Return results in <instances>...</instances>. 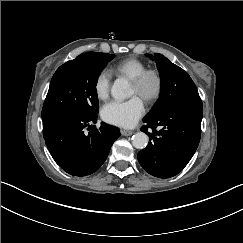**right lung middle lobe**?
I'll use <instances>...</instances> for the list:
<instances>
[{
    "label": "right lung middle lobe",
    "mask_w": 243,
    "mask_h": 243,
    "mask_svg": "<svg viewBox=\"0 0 243 243\" xmlns=\"http://www.w3.org/2000/svg\"><path fill=\"white\" fill-rule=\"evenodd\" d=\"M114 57L113 54L94 52L61 65L51 79L42 109V120L67 112L97 115V80Z\"/></svg>",
    "instance_id": "right-lung-middle-lobe-1"
}]
</instances>
